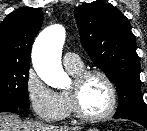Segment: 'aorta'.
<instances>
[{
	"mask_svg": "<svg viewBox=\"0 0 147 131\" xmlns=\"http://www.w3.org/2000/svg\"><path fill=\"white\" fill-rule=\"evenodd\" d=\"M65 30L61 25H52L36 38L32 49V63L37 75L52 88L63 89L70 79L61 64Z\"/></svg>",
	"mask_w": 147,
	"mask_h": 131,
	"instance_id": "aorta-1",
	"label": "aorta"
}]
</instances>
